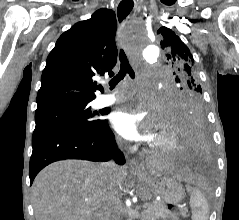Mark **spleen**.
I'll return each mask as SVG.
<instances>
[{"label":"spleen","instance_id":"1","mask_svg":"<svg viewBox=\"0 0 239 220\" xmlns=\"http://www.w3.org/2000/svg\"><path fill=\"white\" fill-rule=\"evenodd\" d=\"M190 193V206L192 208V220H208L209 206L207 200L199 189L187 186Z\"/></svg>","mask_w":239,"mask_h":220}]
</instances>
